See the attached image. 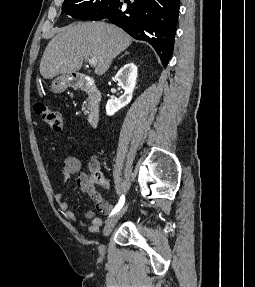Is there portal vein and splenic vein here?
I'll list each match as a JSON object with an SVG mask.
<instances>
[{
    "label": "portal vein and splenic vein",
    "mask_w": 255,
    "mask_h": 287,
    "mask_svg": "<svg viewBox=\"0 0 255 287\" xmlns=\"http://www.w3.org/2000/svg\"><path fill=\"white\" fill-rule=\"evenodd\" d=\"M87 62L88 64H90V66H93V68H95V66H97V58H87Z\"/></svg>",
    "instance_id": "1"
}]
</instances>
